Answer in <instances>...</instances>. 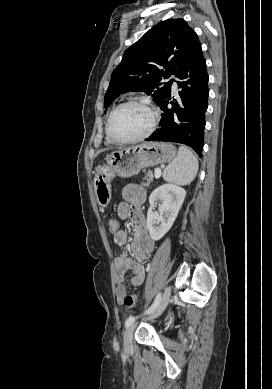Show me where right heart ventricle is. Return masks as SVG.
<instances>
[{
	"mask_svg": "<svg viewBox=\"0 0 272 389\" xmlns=\"http://www.w3.org/2000/svg\"><path fill=\"white\" fill-rule=\"evenodd\" d=\"M106 141L107 143H112L113 141L109 138V136L107 135V132H106Z\"/></svg>",
	"mask_w": 272,
	"mask_h": 389,
	"instance_id": "right-heart-ventricle-1",
	"label": "right heart ventricle"
}]
</instances>
